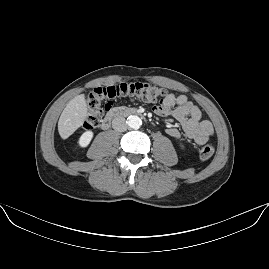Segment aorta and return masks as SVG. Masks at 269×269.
<instances>
[{
  "label": "aorta",
  "instance_id": "obj_1",
  "mask_svg": "<svg viewBox=\"0 0 269 269\" xmlns=\"http://www.w3.org/2000/svg\"><path fill=\"white\" fill-rule=\"evenodd\" d=\"M127 124L130 128L139 129L142 125V120L136 115H131L128 117Z\"/></svg>",
  "mask_w": 269,
  "mask_h": 269
}]
</instances>
